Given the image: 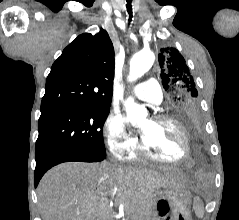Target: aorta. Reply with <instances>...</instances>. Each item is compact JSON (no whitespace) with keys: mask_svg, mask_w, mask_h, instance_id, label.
<instances>
[{"mask_svg":"<svg viewBox=\"0 0 239 220\" xmlns=\"http://www.w3.org/2000/svg\"><path fill=\"white\" fill-rule=\"evenodd\" d=\"M155 55L150 50H142L136 53L130 61V73L128 80L135 81L144 75L153 65ZM125 110L128 120L134 125L139 119L147 116L145 107L137 104L133 98L129 97L125 103Z\"/></svg>","mask_w":239,"mask_h":220,"instance_id":"obj_1","label":"aorta"}]
</instances>
